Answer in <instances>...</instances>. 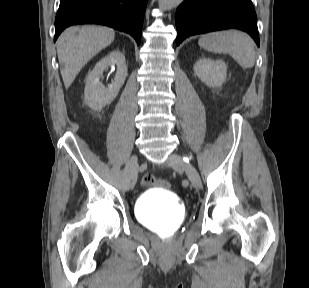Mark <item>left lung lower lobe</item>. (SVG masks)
<instances>
[{"instance_id": "obj_1", "label": "left lung lower lobe", "mask_w": 309, "mask_h": 288, "mask_svg": "<svg viewBox=\"0 0 309 288\" xmlns=\"http://www.w3.org/2000/svg\"><path fill=\"white\" fill-rule=\"evenodd\" d=\"M176 44L206 32L237 28L259 47L257 17L251 0H184L176 11Z\"/></svg>"}]
</instances>
